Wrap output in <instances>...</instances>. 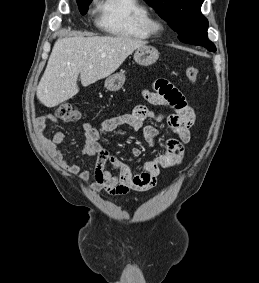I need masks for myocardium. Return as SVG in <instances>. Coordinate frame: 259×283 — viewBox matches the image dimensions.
<instances>
[{
	"label": "myocardium",
	"mask_w": 259,
	"mask_h": 283,
	"mask_svg": "<svg viewBox=\"0 0 259 283\" xmlns=\"http://www.w3.org/2000/svg\"><path fill=\"white\" fill-rule=\"evenodd\" d=\"M148 29L151 35L161 36L166 29V25L161 18L150 16L148 20Z\"/></svg>",
	"instance_id": "1"
}]
</instances>
